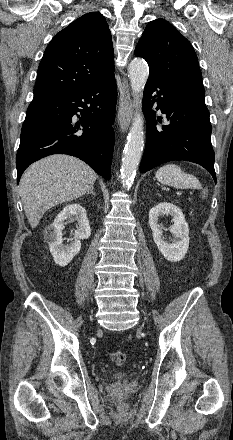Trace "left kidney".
Listing matches in <instances>:
<instances>
[{
	"instance_id": "obj_1",
	"label": "left kidney",
	"mask_w": 233,
	"mask_h": 440,
	"mask_svg": "<svg viewBox=\"0 0 233 440\" xmlns=\"http://www.w3.org/2000/svg\"><path fill=\"white\" fill-rule=\"evenodd\" d=\"M164 215H171L174 222L169 228L173 235L169 242L164 240L162 227L158 223ZM149 224L154 242L165 259L170 262L182 260L189 247V227L182 210L172 203H159L149 211Z\"/></svg>"
}]
</instances>
